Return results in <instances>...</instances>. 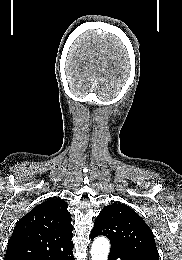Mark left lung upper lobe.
I'll list each match as a JSON object with an SVG mask.
<instances>
[{"label":"left lung upper lobe","mask_w":182,"mask_h":260,"mask_svg":"<svg viewBox=\"0 0 182 260\" xmlns=\"http://www.w3.org/2000/svg\"><path fill=\"white\" fill-rule=\"evenodd\" d=\"M99 235L108 237L112 250L159 260L153 232L144 220L125 204H111L102 209L91 231L92 237Z\"/></svg>","instance_id":"left-lung-upper-lobe-1"}]
</instances>
